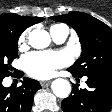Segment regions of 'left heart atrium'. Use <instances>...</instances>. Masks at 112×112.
<instances>
[{"label": "left heart atrium", "mask_w": 112, "mask_h": 112, "mask_svg": "<svg viewBox=\"0 0 112 112\" xmlns=\"http://www.w3.org/2000/svg\"><path fill=\"white\" fill-rule=\"evenodd\" d=\"M69 63L70 57L65 51H34L22 58L25 72L37 79L49 78Z\"/></svg>", "instance_id": "left-heart-atrium-1"}]
</instances>
